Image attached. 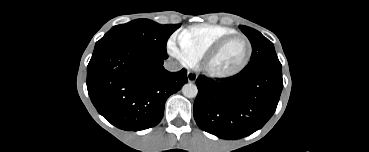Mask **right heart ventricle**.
<instances>
[{
	"mask_svg": "<svg viewBox=\"0 0 369 152\" xmlns=\"http://www.w3.org/2000/svg\"><path fill=\"white\" fill-rule=\"evenodd\" d=\"M237 33L233 28L213 25L199 24L183 29L178 34L180 44L185 47L196 63L203 53L221 38Z\"/></svg>",
	"mask_w": 369,
	"mask_h": 152,
	"instance_id": "e07e8e85",
	"label": "right heart ventricle"
}]
</instances>
